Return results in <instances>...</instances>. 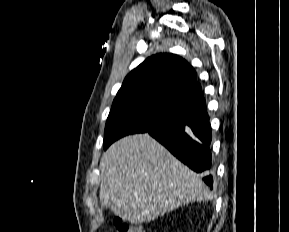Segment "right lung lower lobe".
<instances>
[{"instance_id":"98d812e1","label":"right lung lower lobe","mask_w":289,"mask_h":232,"mask_svg":"<svg viewBox=\"0 0 289 232\" xmlns=\"http://www.w3.org/2000/svg\"><path fill=\"white\" fill-rule=\"evenodd\" d=\"M148 133L193 171L203 173V180L212 188V130L206 105L186 110L178 118Z\"/></svg>"}]
</instances>
